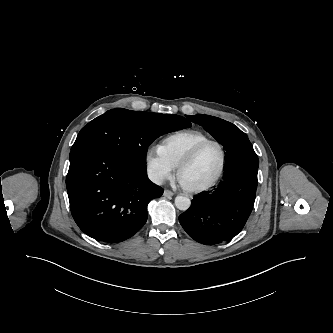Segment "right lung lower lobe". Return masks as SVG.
Wrapping results in <instances>:
<instances>
[{
	"instance_id": "obj_1",
	"label": "right lung lower lobe",
	"mask_w": 333,
	"mask_h": 333,
	"mask_svg": "<svg viewBox=\"0 0 333 333\" xmlns=\"http://www.w3.org/2000/svg\"><path fill=\"white\" fill-rule=\"evenodd\" d=\"M69 159L66 186L70 209L85 234L115 243L143 227L148 203L163 194V189L148 179L146 166L93 143L72 147Z\"/></svg>"
}]
</instances>
